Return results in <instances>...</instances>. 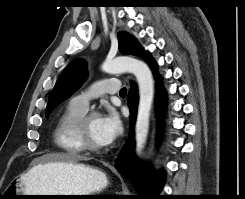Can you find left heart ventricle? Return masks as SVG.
Here are the masks:
<instances>
[{
    "mask_svg": "<svg viewBox=\"0 0 245 199\" xmlns=\"http://www.w3.org/2000/svg\"><path fill=\"white\" fill-rule=\"evenodd\" d=\"M86 133L88 139L95 145L104 146L99 127H98V117L90 118L86 123Z\"/></svg>",
    "mask_w": 245,
    "mask_h": 199,
    "instance_id": "1",
    "label": "left heart ventricle"
}]
</instances>
